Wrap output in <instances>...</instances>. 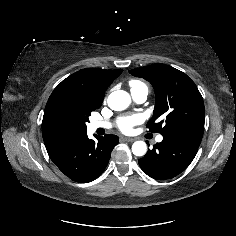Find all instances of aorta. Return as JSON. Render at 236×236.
Listing matches in <instances>:
<instances>
[{
  "label": "aorta",
  "instance_id": "aorta-1",
  "mask_svg": "<svg viewBox=\"0 0 236 236\" xmlns=\"http://www.w3.org/2000/svg\"><path fill=\"white\" fill-rule=\"evenodd\" d=\"M130 95L123 90L112 92L107 99L108 106L115 111H121L130 104ZM132 152L135 156H144L147 152V145L144 141H136L132 145Z\"/></svg>",
  "mask_w": 236,
  "mask_h": 236
}]
</instances>
